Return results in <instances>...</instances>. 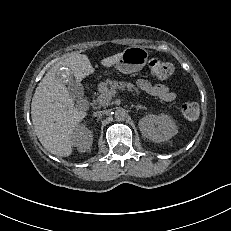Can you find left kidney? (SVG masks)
Segmentation results:
<instances>
[{
  "mask_svg": "<svg viewBox=\"0 0 231 231\" xmlns=\"http://www.w3.org/2000/svg\"><path fill=\"white\" fill-rule=\"evenodd\" d=\"M138 125L143 136L156 143L167 141L178 133L175 122L166 114L146 115Z\"/></svg>",
  "mask_w": 231,
  "mask_h": 231,
  "instance_id": "5707ae66",
  "label": "left kidney"
}]
</instances>
